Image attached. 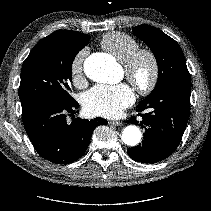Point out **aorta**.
I'll return each mask as SVG.
<instances>
[{"instance_id":"762f6f07","label":"aorta","mask_w":211,"mask_h":211,"mask_svg":"<svg viewBox=\"0 0 211 211\" xmlns=\"http://www.w3.org/2000/svg\"><path fill=\"white\" fill-rule=\"evenodd\" d=\"M86 76L95 82L109 83L118 80L116 65L105 55H92L84 63ZM141 131L129 125L122 131V141L128 146H136L141 140Z\"/></svg>"}]
</instances>
